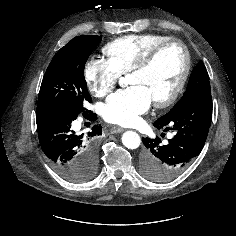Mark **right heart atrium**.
Returning <instances> with one entry per match:
<instances>
[{
	"mask_svg": "<svg viewBox=\"0 0 236 236\" xmlns=\"http://www.w3.org/2000/svg\"><path fill=\"white\" fill-rule=\"evenodd\" d=\"M83 77L92 94L104 97L115 88L120 73L108 60L91 57L84 65Z\"/></svg>",
	"mask_w": 236,
	"mask_h": 236,
	"instance_id": "right-heart-atrium-1",
	"label": "right heart atrium"
}]
</instances>
